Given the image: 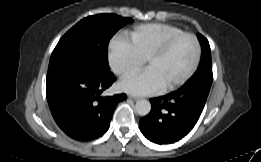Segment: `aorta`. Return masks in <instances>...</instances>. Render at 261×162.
<instances>
[{"label":"aorta","mask_w":261,"mask_h":162,"mask_svg":"<svg viewBox=\"0 0 261 162\" xmlns=\"http://www.w3.org/2000/svg\"><path fill=\"white\" fill-rule=\"evenodd\" d=\"M135 110L140 116H146L151 110V104L146 99H140L136 102Z\"/></svg>","instance_id":"762f6f07"}]
</instances>
